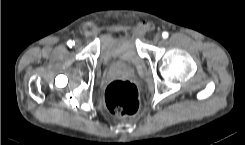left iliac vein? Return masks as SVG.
Masks as SVG:
<instances>
[{
    "label": "left iliac vein",
    "mask_w": 245,
    "mask_h": 145,
    "mask_svg": "<svg viewBox=\"0 0 245 145\" xmlns=\"http://www.w3.org/2000/svg\"><path fill=\"white\" fill-rule=\"evenodd\" d=\"M161 39V35L160 34H156L153 38L154 42H159Z\"/></svg>",
    "instance_id": "1"
}]
</instances>
